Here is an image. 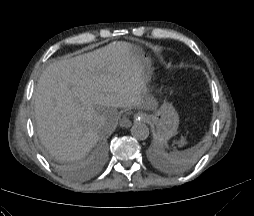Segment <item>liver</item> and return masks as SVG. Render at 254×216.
I'll list each match as a JSON object with an SVG mask.
<instances>
[{
  "label": "liver",
  "mask_w": 254,
  "mask_h": 216,
  "mask_svg": "<svg viewBox=\"0 0 254 216\" xmlns=\"http://www.w3.org/2000/svg\"><path fill=\"white\" fill-rule=\"evenodd\" d=\"M148 82L124 42L49 64L34 92L42 144L58 160L83 158L115 130L118 108L153 109Z\"/></svg>",
  "instance_id": "6515ba94"
}]
</instances>
